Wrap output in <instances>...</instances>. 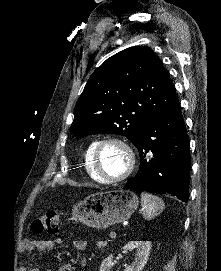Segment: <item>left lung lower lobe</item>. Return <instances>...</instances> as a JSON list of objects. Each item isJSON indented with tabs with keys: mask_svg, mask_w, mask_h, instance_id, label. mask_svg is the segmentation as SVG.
<instances>
[{
	"mask_svg": "<svg viewBox=\"0 0 221 271\" xmlns=\"http://www.w3.org/2000/svg\"><path fill=\"white\" fill-rule=\"evenodd\" d=\"M134 145L140 155V169L124 188L168 193L187 202L191 158L177 97L163 113L145 123Z\"/></svg>",
	"mask_w": 221,
	"mask_h": 271,
	"instance_id": "0a47b994",
	"label": "left lung lower lobe"
}]
</instances>
